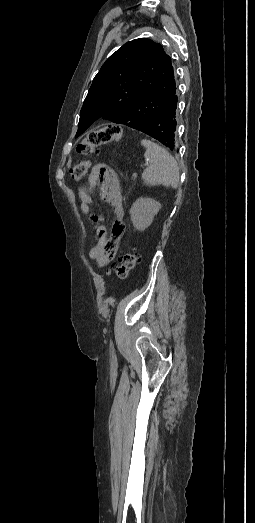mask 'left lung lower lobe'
I'll use <instances>...</instances> for the list:
<instances>
[{
    "label": "left lung lower lobe",
    "mask_w": 255,
    "mask_h": 523,
    "mask_svg": "<svg viewBox=\"0 0 255 523\" xmlns=\"http://www.w3.org/2000/svg\"><path fill=\"white\" fill-rule=\"evenodd\" d=\"M179 100L174 98L172 103L166 104L164 106L163 115H154L155 121H150L141 127H136V129L143 130L145 135H150L159 140L158 144L160 146H168V149L175 151L178 148L177 143H175V137L177 135V124H176V109L179 107Z\"/></svg>",
    "instance_id": "left-lung-lower-lobe-1"
}]
</instances>
